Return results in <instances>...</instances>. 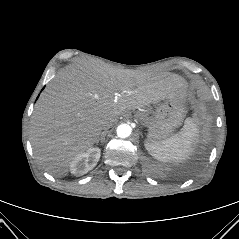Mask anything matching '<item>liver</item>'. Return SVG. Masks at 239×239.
<instances>
[{"label": "liver", "instance_id": "liver-1", "mask_svg": "<svg viewBox=\"0 0 239 239\" xmlns=\"http://www.w3.org/2000/svg\"><path fill=\"white\" fill-rule=\"evenodd\" d=\"M186 88L175 74L71 65L47 85L35 106L31 139L36 159L51 175L65 176L72 160L101 137L104 121L185 95Z\"/></svg>", "mask_w": 239, "mask_h": 239}]
</instances>
